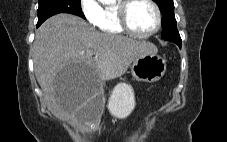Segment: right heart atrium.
Masks as SVG:
<instances>
[{
    "label": "right heart atrium",
    "mask_w": 227,
    "mask_h": 142,
    "mask_svg": "<svg viewBox=\"0 0 227 142\" xmlns=\"http://www.w3.org/2000/svg\"><path fill=\"white\" fill-rule=\"evenodd\" d=\"M79 4L83 17L89 23L97 25L102 9L98 0H80Z\"/></svg>",
    "instance_id": "right-heart-atrium-1"
}]
</instances>
